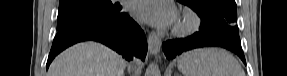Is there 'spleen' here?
I'll use <instances>...</instances> for the list:
<instances>
[{
  "label": "spleen",
  "instance_id": "1",
  "mask_svg": "<svg viewBox=\"0 0 287 76\" xmlns=\"http://www.w3.org/2000/svg\"><path fill=\"white\" fill-rule=\"evenodd\" d=\"M178 69L184 76H245L233 55L220 48L188 51L178 60Z\"/></svg>",
  "mask_w": 287,
  "mask_h": 76
}]
</instances>
